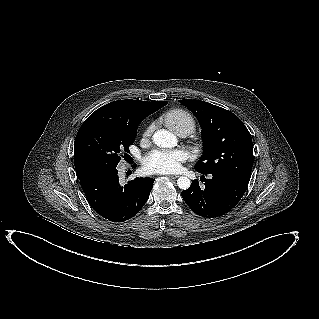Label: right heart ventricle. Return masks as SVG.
<instances>
[{"instance_id": "e07e8e85", "label": "right heart ventricle", "mask_w": 319, "mask_h": 319, "mask_svg": "<svg viewBox=\"0 0 319 319\" xmlns=\"http://www.w3.org/2000/svg\"><path fill=\"white\" fill-rule=\"evenodd\" d=\"M164 122L177 134H190L195 130L196 123L192 115L183 109H172L164 115Z\"/></svg>"}]
</instances>
